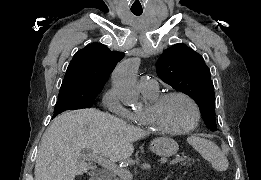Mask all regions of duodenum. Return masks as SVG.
Here are the masks:
<instances>
[{
	"instance_id": "1",
	"label": "duodenum",
	"mask_w": 261,
	"mask_h": 180,
	"mask_svg": "<svg viewBox=\"0 0 261 180\" xmlns=\"http://www.w3.org/2000/svg\"><path fill=\"white\" fill-rule=\"evenodd\" d=\"M89 180H104L103 177H90Z\"/></svg>"
}]
</instances>
